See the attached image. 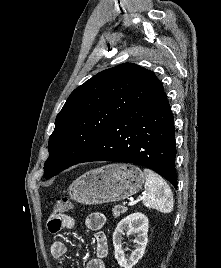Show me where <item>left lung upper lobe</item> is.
<instances>
[{"label":"left lung upper lobe","instance_id":"1","mask_svg":"<svg viewBox=\"0 0 221 268\" xmlns=\"http://www.w3.org/2000/svg\"><path fill=\"white\" fill-rule=\"evenodd\" d=\"M163 89L154 73L133 63L104 70L77 87L56 117L44 177L79 163L118 117Z\"/></svg>","mask_w":221,"mask_h":268}]
</instances>
